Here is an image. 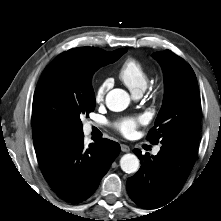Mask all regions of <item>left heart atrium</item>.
I'll list each match as a JSON object with an SVG mask.
<instances>
[{
  "label": "left heart atrium",
  "instance_id": "left-heart-atrium-1",
  "mask_svg": "<svg viewBox=\"0 0 221 221\" xmlns=\"http://www.w3.org/2000/svg\"><path fill=\"white\" fill-rule=\"evenodd\" d=\"M146 119L143 116L140 117H128L121 119L115 124V127L124 135L132 136L139 125L145 124Z\"/></svg>",
  "mask_w": 221,
  "mask_h": 221
}]
</instances>
